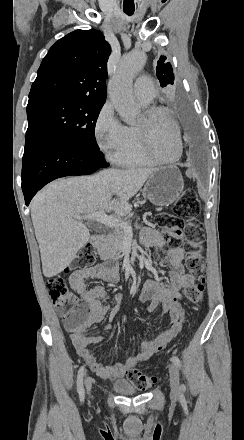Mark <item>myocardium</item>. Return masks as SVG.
<instances>
[{"instance_id": "f54148a6", "label": "myocardium", "mask_w": 244, "mask_h": 440, "mask_svg": "<svg viewBox=\"0 0 244 440\" xmlns=\"http://www.w3.org/2000/svg\"><path fill=\"white\" fill-rule=\"evenodd\" d=\"M170 112L168 110H163L162 107H158V106H152V107H148L144 110L143 112V117L144 120L141 124L139 125H135V127L137 129H139L141 132V142H142V146L146 147L147 146V140H148V133H149V129H148V125L149 124H154V119L157 115H164L163 117L165 118V122L169 123V126L172 127L173 131L176 134V147H175V154L173 155V157L166 159L163 158L161 156L160 153L156 152L153 153L152 150V146H147V151L149 154H152V156L154 157V159L156 160L157 163L161 164V165H173L176 162H178L180 155H181V136H180V132L177 129V127L175 126V122H172L173 120L171 119V114H169Z\"/></svg>"}]
</instances>
